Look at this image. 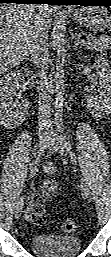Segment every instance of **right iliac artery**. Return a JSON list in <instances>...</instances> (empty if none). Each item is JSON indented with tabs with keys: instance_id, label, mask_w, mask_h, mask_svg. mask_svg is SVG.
Instances as JSON below:
<instances>
[{
	"instance_id": "82829eb1",
	"label": "right iliac artery",
	"mask_w": 111,
	"mask_h": 257,
	"mask_svg": "<svg viewBox=\"0 0 111 257\" xmlns=\"http://www.w3.org/2000/svg\"><path fill=\"white\" fill-rule=\"evenodd\" d=\"M46 147H48V144L44 147V149L42 150L41 154L35 159L34 163L32 164V167L30 169V175H29V178L27 180V184L31 181V179L34 177L37 169H38V166H39V163L41 161V157L46 149ZM25 196H26V190H24L22 193H21V196L19 198V202H23L24 199H25Z\"/></svg>"
}]
</instances>
